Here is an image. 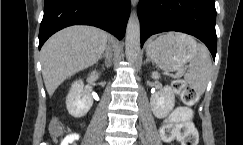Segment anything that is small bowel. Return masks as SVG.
<instances>
[{"label":"small bowel","instance_id":"c3829d8e","mask_svg":"<svg viewBox=\"0 0 243 145\" xmlns=\"http://www.w3.org/2000/svg\"><path fill=\"white\" fill-rule=\"evenodd\" d=\"M79 134L72 132L69 133L62 141L61 145H72L79 140Z\"/></svg>","mask_w":243,"mask_h":145}]
</instances>
